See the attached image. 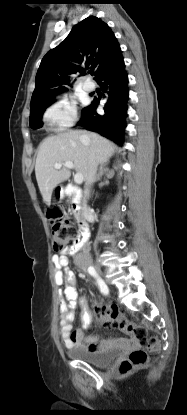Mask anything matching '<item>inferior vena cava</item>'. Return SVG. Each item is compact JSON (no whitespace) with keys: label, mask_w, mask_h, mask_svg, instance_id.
<instances>
[{"label":"inferior vena cava","mask_w":187,"mask_h":415,"mask_svg":"<svg viewBox=\"0 0 187 415\" xmlns=\"http://www.w3.org/2000/svg\"><path fill=\"white\" fill-rule=\"evenodd\" d=\"M98 162L96 161L94 153L90 152L89 154V161H88V174L86 179V190H85V197L89 195V189L91 185L94 183L97 173Z\"/></svg>","instance_id":"obj_1"}]
</instances>
